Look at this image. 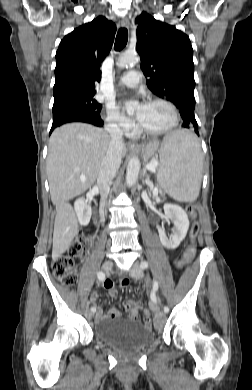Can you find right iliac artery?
Segmentation results:
<instances>
[{
	"label": "right iliac artery",
	"instance_id": "82829eb1",
	"mask_svg": "<svg viewBox=\"0 0 252 390\" xmlns=\"http://www.w3.org/2000/svg\"><path fill=\"white\" fill-rule=\"evenodd\" d=\"M98 273H99L98 280L104 281V280H105V274H104L102 271H100V272H98ZM91 311H92V312H95V311H96V308H95V307H92V308H91Z\"/></svg>",
	"mask_w": 252,
	"mask_h": 390
}]
</instances>
